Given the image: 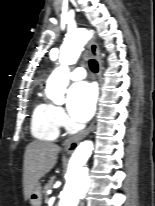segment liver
Instances as JSON below:
<instances>
[{"label":"liver","mask_w":155,"mask_h":206,"mask_svg":"<svg viewBox=\"0 0 155 206\" xmlns=\"http://www.w3.org/2000/svg\"><path fill=\"white\" fill-rule=\"evenodd\" d=\"M61 148L50 142L33 141L27 145L24 155L23 185L25 200L34 186L55 166Z\"/></svg>","instance_id":"liver-1"}]
</instances>
